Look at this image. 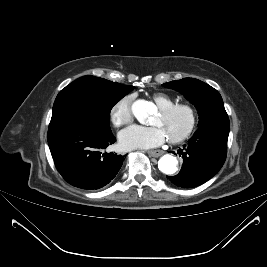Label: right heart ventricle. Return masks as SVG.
Here are the masks:
<instances>
[{
	"instance_id": "right-heart-ventricle-1",
	"label": "right heart ventricle",
	"mask_w": 267,
	"mask_h": 267,
	"mask_svg": "<svg viewBox=\"0 0 267 267\" xmlns=\"http://www.w3.org/2000/svg\"><path fill=\"white\" fill-rule=\"evenodd\" d=\"M152 99L159 109L175 103L173 98L164 93H155Z\"/></svg>"
}]
</instances>
